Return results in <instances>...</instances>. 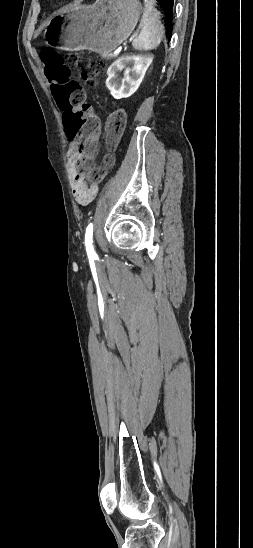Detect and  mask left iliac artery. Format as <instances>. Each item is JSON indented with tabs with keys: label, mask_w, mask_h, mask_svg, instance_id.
Wrapping results in <instances>:
<instances>
[{
	"label": "left iliac artery",
	"mask_w": 253,
	"mask_h": 548,
	"mask_svg": "<svg viewBox=\"0 0 253 548\" xmlns=\"http://www.w3.org/2000/svg\"><path fill=\"white\" fill-rule=\"evenodd\" d=\"M85 246H86L88 257L92 259L97 258V255L93 247V224L92 223H90L86 228Z\"/></svg>",
	"instance_id": "left-iliac-artery-1"
}]
</instances>
